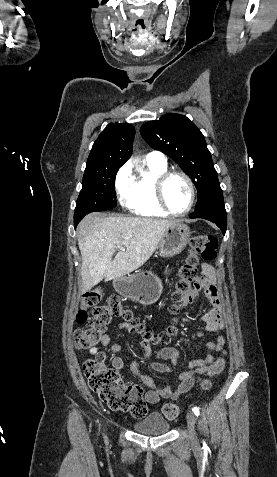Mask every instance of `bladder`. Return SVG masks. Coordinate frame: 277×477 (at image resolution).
Wrapping results in <instances>:
<instances>
[{
    "mask_svg": "<svg viewBox=\"0 0 277 477\" xmlns=\"http://www.w3.org/2000/svg\"><path fill=\"white\" fill-rule=\"evenodd\" d=\"M133 428L141 434L161 435L170 430V424L159 413H152L145 419L135 422Z\"/></svg>",
    "mask_w": 277,
    "mask_h": 477,
    "instance_id": "obj_1",
    "label": "bladder"
}]
</instances>
